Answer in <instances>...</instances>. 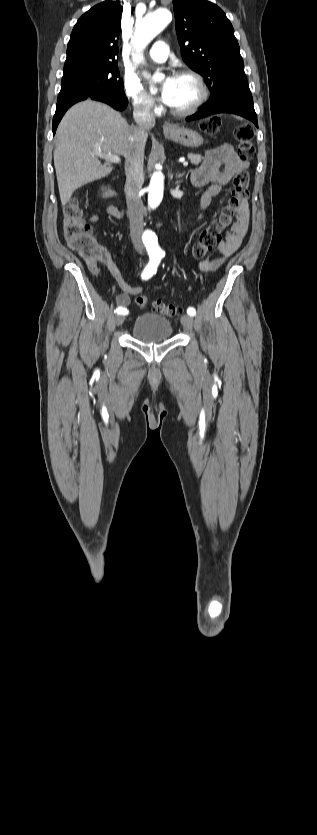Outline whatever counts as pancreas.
<instances>
[{
	"label": "pancreas",
	"mask_w": 317,
	"mask_h": 835,
	"mask_svg": "<svg viewBox=\"0 0 317 835\" xmlns=\"http://www.w3.org/2000/svg\"><path fill=\"white\" fill-rule=\"evenodd\" d=\"M188 158L190 159V161H191V162H192V164H194V165H198V164H199V163H201V161H202V157H201V155H200V154H193V153H190V154L188 155Z\"/></svg>",
	"instance_id": "cf45deb5"
}]
</instances>
